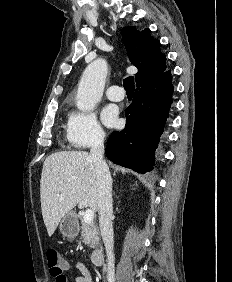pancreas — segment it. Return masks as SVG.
Instances as JSON below:
<instances>
[{
	"label": "pancreas",
	"instance_id": "1",
	"mask_svg": "<svg viewBox=\"0 0 232 282\" xmlns=\"http://www.w3.org/2000/svg\"><path fill=\"white\" fill-rule=\"evenodd\" d=\"M81 237L83 242L90 248H95L100 240L98 227L95 222L86 223L81 221Z\"/></svg>",
	"mask_w": 232,
	"mask_h": 282
}]
</instances>
